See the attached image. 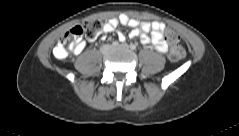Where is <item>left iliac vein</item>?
Instances as JSON below:
<instances>
[{
	"label": "left iliac vein",
	"instance_id": "4c4485c4",
	"mask_svg": "<svg viewBox=\"0 0 239 136\" xmlns=\"http://www.w3.org/2000/svg\"><path fill=\"white\" fill-rule=\"evenodd\" d=\"M116 47L128 48V45L127 44H120V45L114 46L113 48H116Z\"/></svg>",
	"mask_w": 239,
	"mask_h": 136
}]
</instances>
